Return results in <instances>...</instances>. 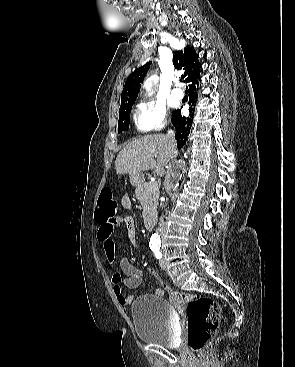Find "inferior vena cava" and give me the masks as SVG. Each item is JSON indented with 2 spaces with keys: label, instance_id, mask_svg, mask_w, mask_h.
I'll return each instance as SVG.
<instances>
[{
  "label": "inferior vena cava",
  "instance_id": "1",
  "mask_svg": "<svg viewBox=\"0 0 295 367\" xmlns=\"http://www.w3.org/2000/svg\"><path fill=\"white\" fill-rule=\"evenodd\" d=\"M166 138H167V141H168V144H169V147L171 149H173L175 147V133L173 130H168L167 134H166ZM160 229H163L164 227V220H163V217H161L160 219Z\"/></svg>",
  "mask_w": 295,
  "mask_h": 367
}]
</instances>
